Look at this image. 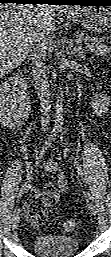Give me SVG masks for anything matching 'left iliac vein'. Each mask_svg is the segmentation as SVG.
I'll return each instance as SVG.
<instances>
[{
  "label": "left iliac vein",
  "mask_w": 111,
  "mask_h": 257,
  "mask_svg": "<svg viewBox=\"0 0 111 257\" xmlns=\"http://www.w3.org/2000/svg\"><path fill=\"white\" fill-rule=\"evenodd\" d=\"M86 198H87V204H88V208L89 210L95 214V202H94V199L93 197L88 193L86 192Z\"/></svg>",
  "instance_id": "left-iliac-vein-1"
}]
</instances>
